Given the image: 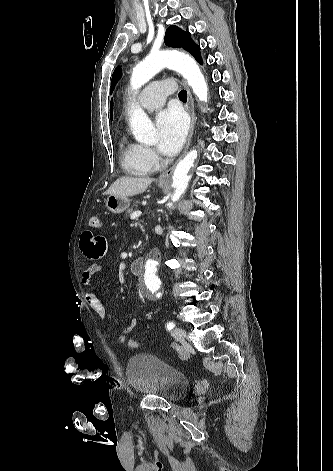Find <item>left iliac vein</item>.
I'll return each mask as SVG.
<instances>
[{
	"label": "left iliac vein",
	"mask_w": 333,
	"mask_h": 471,
	"mask_svg": "<svg viewBox=\"0 0 333 471\" xmlns=\"http://www.w3.org/2000/svg\"><path fill=\"white\" fill-rule=\"evenodd\" d=\"M172 336L178 341H183L186 337V331L180 327H176L172 330Z\"/></svg>",
	"instance_id": "left-iliac-vein-1"
}]
</instances>
